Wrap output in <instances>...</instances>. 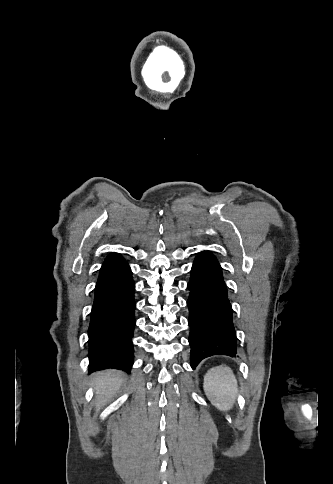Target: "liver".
I'll use <instances>...</instances> for the list:
<instances>
[{
    "label": "liver",
    "mask_w": 333,
    "mask_h": 484,
    "mask_svg": "<svg viewBox=\"0 0 333 484\" xmlns=\"http://www.w3.org/2000/svg\"><path fill=\"white\" fill-rule=\"evenodd\" d=\"M123 381L124 375L120 371L105 370L96 374L94 378V385L97 395V411L102 408L119 390Z\"/></svg>",
    "instance_id": "obj_1"
}]
</instances>
